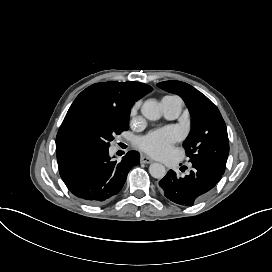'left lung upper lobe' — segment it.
Returning <instances> with one entry per match:
<instances>
[{
	"instance_id": "5c2ea615",
	"label": "left lung upper lobe",
	"mask_w": 272,
	"mask_h": 272,
	"mask_svg": "<svg viewBox=\"0 0 272 272\" xmlns=\"http://www.w3.org/2000/svg\"><path fill=\"white\" fill-rule=\"evenodd\" d=\"M157 86L179 95L186 103L192 128L183 143L190 161L208 165L224 173L229 154L225 122L218 108L201 92L181 81H164Z\"/></svg>"
}]
</instances>
